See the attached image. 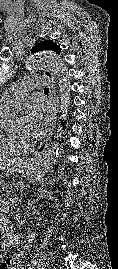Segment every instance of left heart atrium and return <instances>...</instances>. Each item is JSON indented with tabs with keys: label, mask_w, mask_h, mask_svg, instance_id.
<instances>
[{
	"label": "left heart atrium",
	"mask_w": 118,
	"mask_h": 269,
	"mask_svg": "<svg viewBox=\"0 0 118 269\" xmlns=\"http://www.w3.org/2000/svg\"><path fill=\"white\" fill-rule=\"evenodd\" d=\"M50 120L49 107L42 101H33L24 113L25 132L31 139L40 138L47 132Z\"/></svg>",
	"instance_id": "39dd6f15"
}]
</instances>
